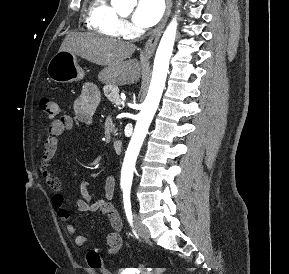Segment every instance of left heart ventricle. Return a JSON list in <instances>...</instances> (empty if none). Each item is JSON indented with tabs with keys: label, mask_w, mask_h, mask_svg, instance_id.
<instances>
[{
	"label": "left heart ventricle",
	"mask_w": 289,
	"mask_h": 274,
	"mask_svg": "<svg viewBox=\"0 0 289 274\" xmlns=\"http://www.w3.org/2000/svg\"><path fill=\"white\" fill-rule=\"evenodd\" d=\"M128 14H129V11L123 13L124 16H127Z\"/></svg>",
	"instance_id": "1"
}]
</instances>
